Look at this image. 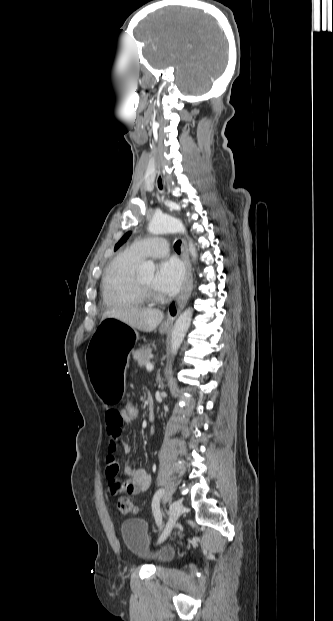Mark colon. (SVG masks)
<instances>
[{"mask_svg": "<svg viewBox=\"0 0 333 621\" xmlns=\"http://www.w3.org/2000/svg\"><path fill=\"white\" fill-rule=\"evenodd\" d=\"M121 410L127 423L134 422L139 416V409L137 405L131 400L123 402ZM118 509L123 515L128 516L135 515L137 512L135 504L127 498H121L118 501Z\"/></svg>", "mask_w": 333, "mask_h": 621, "instance_id": "5ec220e1", "label": "colon"}]
</instances>
